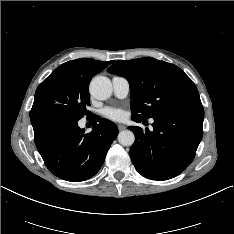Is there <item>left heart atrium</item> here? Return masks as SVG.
Segmentation results:
<instances>
[{
	"mask_svg": "<svg viewBox=\"0 0 234 234\" xmlns=\"http://www.w3.org/2000/svg\"><path fill=\"white\" fill-rule=\"evenodd\" d=\"M103 116L111 121H123L126 117V113L119 107H106L103 110Z\"/></svg>",
	"mask_w": 234,
	"mask_h": 234,
	"instance_id": "39dd6f15",
	"label": "left heart atrium"
}]
</instances>
